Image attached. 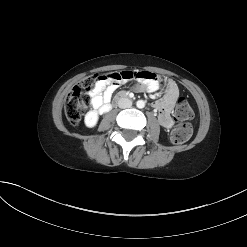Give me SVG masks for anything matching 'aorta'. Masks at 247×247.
I'll return each mask as SVG.
<instances>
[{
	"label": "aorta",
	"instance_id": "obj_1",
	"mask_svg": "<svg viewBox=\"0 0 247 247\" xmlns=\"http://www.w3.org/2000/svg\"><path fill=\"white\" fill-rule=\"evenodd\" d=\"M136 106H137V108H139V109L144 108V107H145V101H143V100H138V101L136 102Z\"/></svg>",
	"mask_w": 247,
	"mask_h": 247
}]
</instances>
